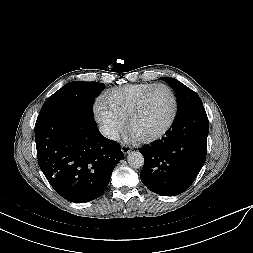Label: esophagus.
I'll return each mask as SVG.
<instances>
[{
  "label": "esophagus",
  "instance_id": "34e87169",
  "mask_svg": "<svg viewBox=\"0 0 253 253\" xmlns=\"http://www.w3.org/2000/svg\"><path fill=\"white\" fill-rule=\"evenodd\" d=\"M121 150L124 154H127L131 151V147L130 146H127V145H122L121 146Z\"/></svg>",
  "mask_w": 253,
  "mask_h": 253
}]
</instances>
